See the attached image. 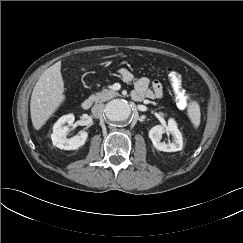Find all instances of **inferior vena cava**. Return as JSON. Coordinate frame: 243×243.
<instances>
[{
  "label": "inferior vena cava",
  "instance_id": "1",
  "mask_svg": "<svg viewBox=\"0 0 243 243\" xmlns=\"http://www.w3.org/2000/svg\"><path fill=\"white\" fill-rule=\"evenodd\" d=\"M92 114L95 116V117H100L102 116L103 114V111H104V105L103 104H95L92 109Z\"/></svg>",
  "mask_w": 243,
  "mask_h": 243
}]
</instances>
